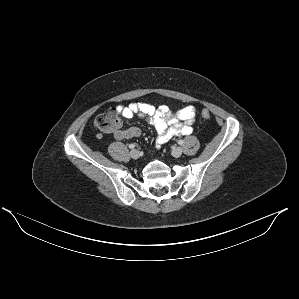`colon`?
Instances as JSON below:
<instances>
[{"label": "colon", "mask_w": 299, "mask_h": 299, "mask_svg": "<svg viewBox=\"0 0 299 299\" xmlns=\"http://www.w3.org/2000/svg\"><path fill=\"white\" fill-rule=\"evenodd\" d=\"M201 115L204 119L210 118L208 110H203ZM96 127L101 132H116L120 129V120L115 110H107L100 114L95 120Z\"/></svg>", "instance_id": "obj_1"}]
</instances>
